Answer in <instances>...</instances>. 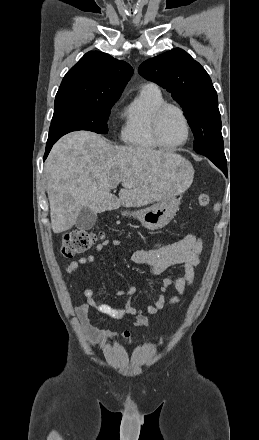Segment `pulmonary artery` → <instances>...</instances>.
I'll return each instance as SVG.
<instances>
[{
  "instance_id": "pulmonary-artery-1",
  "label": "pulmonary artery",
  "mask_w": 259,
  "mask_h": 440,
  "mask_svg": "<svg viewBox=\"0 0 259 440\" xmlns=\"http://www.w3.org/2000/svg\"><path fill=\"white\" fill-rule=\"evenodd\" d=\"M143 88L151 89V90H158V87L153 83L146 84Z\"/></svg>"
}]
</instances>
